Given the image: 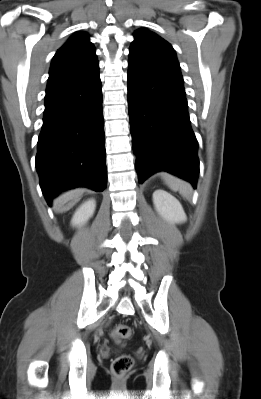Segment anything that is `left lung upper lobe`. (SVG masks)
<instances>
[{
    "mask_svg": "<svg viewBox=\"0 0 261 399\" xmlns=\"http://www.w3.org/2000/svg\"><path fill=\"white\" fill-rule=\"evenodd\" d=\"M129 53V67L143 73L171 77L183 81L179 62L172 46L146 29L134 33Z\"/></svg>",
    "mask_w": 261,
    "mask_h": 399,
    "instance_id": "5c2ea615",
    "label": "left lung upper lobe"
}]
</instances>
